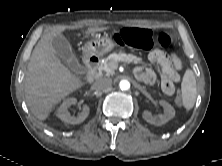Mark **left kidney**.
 Listing matches in <instances>:
<instances>
[{
    "mask_svg": "<svg viewBox=\"0 0 222 166\" xmlns=\"http://www.w3.org/2000/svg\"><path fill=\"white\" fill-rule=\"evenodd\" d=\"M159 103L161 106H163L165 110L164 114H160L156 117H153L150 112L148 111L143 112V118L148 123L157 125V126L166 124L169 120H171L175 116V110L168 102L161 100L159 101Z\"/></svg>",
    "mask_w": 222,
    "mask_h": 166,
    "instance_id": "left-kidney-1",
    "label": "left kidney"
}]
</instances>
